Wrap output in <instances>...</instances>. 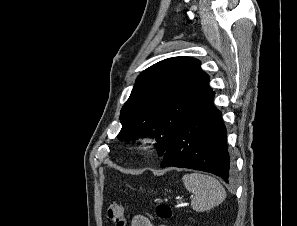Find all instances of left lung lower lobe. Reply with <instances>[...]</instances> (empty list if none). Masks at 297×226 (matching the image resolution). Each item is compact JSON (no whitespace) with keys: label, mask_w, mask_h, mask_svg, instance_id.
<instances>
[{"label":"left lung lower lobe","mask_w":297,"mask_h":226,"mask_svg":"<svg viewBox=\"0 0 297 226\" xmlns=\"http://www.w3.org/2000/svg\"><path fill=\"white\" fill-rule=\"evenodd\" d=\"M214 94L211 91L203 97L182 122L161 166L206 171L229 183L233 167L226 127L221 112L213 104Z\"/></svg>","instance_id":"left-lung-lower-lobe-1"}]
</instances>
